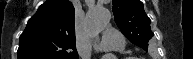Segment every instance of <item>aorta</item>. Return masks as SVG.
Returning <instances> with one entry per match:
<instances>
[{
    "label": "aorta",
    "mask_w": 193,
    "mask_h": 59,
    "mask_svg": "<svg viewBox=\"0 0 193 59\" xmlns=\"http://www.w3.org/2000/svg\"><path fill=\"white\" fill-rule=\"evenodd\" d=\"M111 13L103 7H95L88 11L86 15V30L91 36H97L109 23ZM103 59H115L112 54H105Z\"/></svg>",
    "instance_id": "obj_1"
}]
</instances>
